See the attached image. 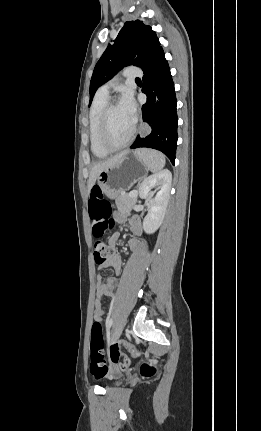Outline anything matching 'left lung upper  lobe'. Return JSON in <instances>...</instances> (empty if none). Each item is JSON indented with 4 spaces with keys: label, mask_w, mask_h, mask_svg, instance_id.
Here are the masks:
<instances>
[{
    "label": "left lung upper lobe",
    "mask_w": 261,
    "mask_h": 431,
    "mask_svg": "<svg viewBox=\"0 0 261 431\" xmlns=\"http://www.w3.org/2000/svg\"><path fill=\"white\" fill-rule=\"evenodd\" d=\"M160 42L150 26L141 21H127L97 62L90 82V102L96 90L128 65L142 69L159 49Z\"/></svg>",
    "instance_id": "1"
}]
</instances>
